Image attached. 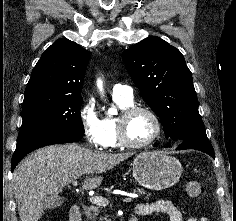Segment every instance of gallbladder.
Masks as SVG:
<instances>
[{
	"mask_svg": "<svg viewBox=\"0 0 236 221\" xmlns=\"http://www.w3.org/2000/svg\"><path fill=\"white\" fill-rule=\"evenodd\" d=\"M63 203V198L57 195L48 196L43 204L46 209H54Z\"/></svg>",
	"mask_w": 236,
	"mask_h": 221,
	"instance_id": "1",
	"label": "gallbladder"
}]
</instances>
